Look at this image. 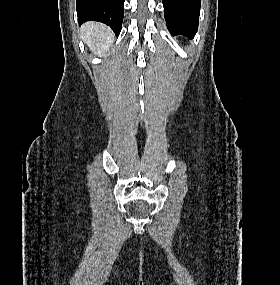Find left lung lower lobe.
I'll return each instance as SVG.
<instances>
[{"instance_id": "obj_1", "label": "left lung lower lobe", "mask_w": 280, "mask_h": 285, "mask_svg": "<svg viewBox=\"0 0 280 285\" xmlns=\"http://www.w3.org/2000/svg\"><path fill=\"white\" fill-rule=\"evenodd\" d=\"M166 24L172 34L194 37L198 29L200 0H162Z\"/></svg>"}]
</instances>
